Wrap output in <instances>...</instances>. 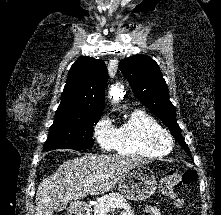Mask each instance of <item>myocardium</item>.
Segmentation results:
<instances>
[{
    "instance_id": "1",
    "label": "myocardium",
    "mask_w": 221,
    "mask_h": 215,
    "mask_svg": "<svg viewBox=\"0 0 221 215\" xmlns=\"http://www.w3.org/2000/svg\"><path fill=\"white\" fill-rule=\"evenodd\" d=\"M148 142L153 149L164 154L170 152L174 146L172 135L162 127L150 132Z\"/></svg>"
}]
</instances>
